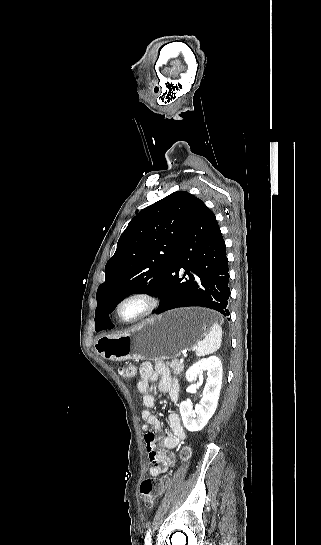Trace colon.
<instances>
[{"label":"colon","mask_w":321,"mask_h":545,"mask_svg":"<svg viewBox=\"0 0 321 545\" xmlns=\"http://www.w3.org/2000/svg\"><path fill=\"white\" fill-rule=\"evenodd\" d=\"M120 375L127 379L131 380L135 376V368L133 365H124L119 368ZM188 452L186 450L182 451L181 456L183 458L187 457ZM167 484L166 478H155L150 477L142 481L140 485V497L142 502L150 507L152 506L156 499L163 493Z\"/></svg>","instance_id":"1"}]
</instances>
